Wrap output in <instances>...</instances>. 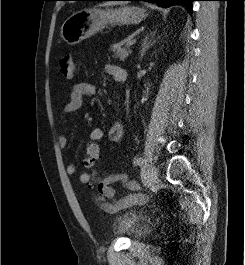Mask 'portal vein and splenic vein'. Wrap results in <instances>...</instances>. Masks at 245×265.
<instances>
[{
    "mask_svg": "<svg viewBox=\"0 0 245 265\" xmlns=\"http://www.w3.org/2000/svg\"><path fill=\"white\" fill-rule=\"evenodd\" d=\"M135 43H136V40H132V41L127 43V46L128 47L133 46Z\"/></svg>",
    "mask_w": 245,
    "mask_h": 265,
    "instance_id": "1",
    "label": "portal vein and splenic vein"
}]
</instances>
